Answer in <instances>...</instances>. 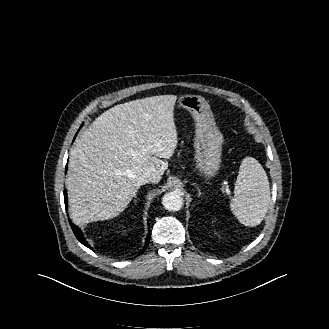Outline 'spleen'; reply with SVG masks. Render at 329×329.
I'll return each instance as SVG.
<instances>
[{
  "mask_svg": "<svg viewBox=\"0 0 329 329\" xmlns=\"http://www.w3.org/2000/svg\"><path fill=\"white\" fill-rule=\"evenodd\" d=\"M271 202L269 181L262 165L253 157L243 159L230 208L245 226L259 225Z\"/></svg>",
  "mask_w": 329,
  "mask_h": 329,
  "instance_id": "spleen-1",
  "label": "spleen"
}]
</instances>
